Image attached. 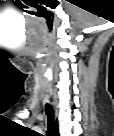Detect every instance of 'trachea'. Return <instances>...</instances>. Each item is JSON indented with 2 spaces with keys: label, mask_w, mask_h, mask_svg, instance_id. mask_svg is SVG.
<instances>
[{
  "label": "trachea",
  "mask_w": 114,
  "mask_h": 136,
  "mask_svg": "<svg viewBox=\"0 0 114 136\" xmlns=\"http://www.w3.org/2000/svg\"><path fill=\"white\" fill-rule=\"evenodd\" d=\"M45 111L48 119V136H52L54 132V111L50 104H46Z\"/></svg>",
  "instance_id": "3493384b"
}]
</instances>
